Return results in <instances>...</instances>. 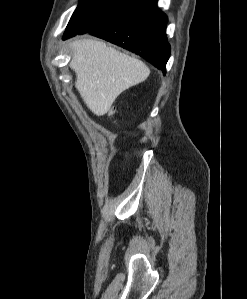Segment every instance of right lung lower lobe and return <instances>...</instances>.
Masks as SVG:
<instances>
[{"mask_svg":"<svg viewBox=\"0 0 247 299\" xmlns=\"http://www.w3.org/2000/svg\"><path fill=\"white\" fill-rule=\"evenodd\" d=\"M157 1L136 0L120 17L89 33L136 53L165 75L171 51L165 29L168 20Z\"/></svg>","mask_w":247,"mask_h":299,"instance_id":"right-lung-lower-lobe-1","label":"right lung lower lobe"}]
</instances>
